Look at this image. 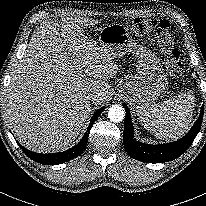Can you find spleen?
<instances>
[{
    "label": "spleen",
    "instance_id": "spleen-1",
    "mask_svg": "<svg viewBox=\"0 0 206 206\" xmlns=\"http://www.w3.org/2000/svg\"><path fill=\"white\" fill-rule=\"evenodd\" d=\"M195 98L191 90L137 113L143 127L160 139H175L189 128Z\"/></svg>",
    "mask_w": 206,
    "mask_h": 206
}]
</instances>
